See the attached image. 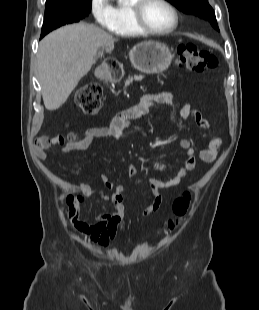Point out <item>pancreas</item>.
I'll return each mask as SVG.
<instances>
[{
    "mask_svg": "<svg viewBox=\"0 0 259 310\" xmlns=\"http://www.w3.org/2000/svg\"><path fill=\"white\" fill-rule=\"evenodd\" d=\"M142 78H143V76H134V78H133V77H129V78L125 81V87H127L128 85H130V84L133 82V80L140 81V80H142Z\"/></svg>",
    "mask_w": 259,
    "mask_h": 310,
    "instance_id": "1",
    "label": "pancreas"
}]
</instances>
